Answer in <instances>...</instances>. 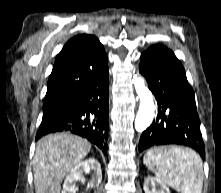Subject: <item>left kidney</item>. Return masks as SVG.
I'll return each mask as SVG.
<instances>
[{
  "label": "left kidney",
  "mask_w": 221,
  "mask_h": 193,
  "mask_svg": "<svg viewBox=\"0 0 221 193\" xmlns=\"http://www.w3.org/2000/svg\"><path fill=\"white\" fill-rule=\"evenodd\" d=\"M143 189L145 193H170L163 181L150 176L145 179Z\"/></svg>",
  "instance_id": "left-kidney-1"
}]
</instances>
